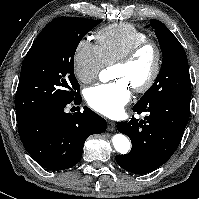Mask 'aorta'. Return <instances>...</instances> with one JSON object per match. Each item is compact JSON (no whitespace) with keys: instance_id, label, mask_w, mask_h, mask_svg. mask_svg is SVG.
Wrapping results in <instances>:
<instances>
[{"instance_id":"1","label":"aorta","mask_w":199,"mask_h":199,"mask_svg":"<svg viewBox=\"0 0 199 199\" xmlns=\"http://www.w3.org/2000/svg\"><path fill=\"white\" fill-rule=\"evenodd\" d=\"M108 76V71L102 70L99 74L101 81H106ZM112 143L115 150L121 154H126L131 147L129 139L123 134H116L112 138Z\"/></svg>"}]
</instances>
